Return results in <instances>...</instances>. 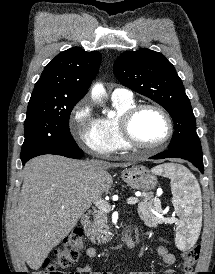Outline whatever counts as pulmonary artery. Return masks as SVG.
Segmentation results:
<instances>
[{
    "instance_id": "obj_1",
    "label": "pulmonary artery",
    "mask_w": 215,
    "mask_h": 274,
    "mask_svg": "<svg viewBox=\"0 0 215 274\" xmlns=\"http://www.w3.org/2000/svg\"><path fill=\"white\" fill-rule=\"evenodd\" d=\"M112 98L115 99H131L132 92L125 88H115L112 92Z\"/></svg>"
}]
</instances>
